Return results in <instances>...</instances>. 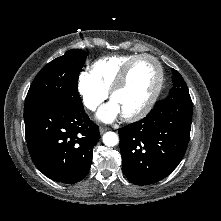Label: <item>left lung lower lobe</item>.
I'll return each mask as SVG.
<instances>
[{
	"label": "left lung lower lobe",
	"mask_w": 221,
	"mask_h": 221,
	"mask_svg": "<svg viewBox=\"0 0 221 221\" xmlns=\"http://www.w3.org/2000/svg\"><path fill=\"white\" fill-rule=\"evenodd\" d=\"M193 104L189 91H171L142 120L120 128L122 171L136 185L167 177L189 142Z\"/></svg>",
	"instance_id": "0a47b994"
}]
</instances>
